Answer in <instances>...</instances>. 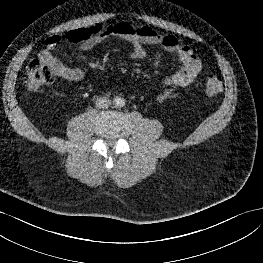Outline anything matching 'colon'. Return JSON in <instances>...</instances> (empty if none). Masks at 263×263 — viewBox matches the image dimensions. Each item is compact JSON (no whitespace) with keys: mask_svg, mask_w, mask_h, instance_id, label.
Here are the masks:
<instances>
[{"mask_svg":"<svg viewBox=\"0 0 263 263\" xmlns=\"http://www.w3.org/2000/svg\"><path fill=\"white\" fill-rule=\"evenodd\" d=\"M55 79L54 71L40 60H32L26 71L25 87L29 92H37L42 87L51 84ZM223 89L222 82L214 75L207 77L205 81L206 94L213 96Z\"/></svg>","mask_w":263,"mask_h":263,"instance_id":"obj_1","label":"colon"}]
</instances>
